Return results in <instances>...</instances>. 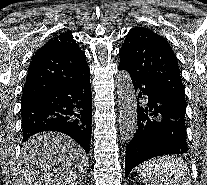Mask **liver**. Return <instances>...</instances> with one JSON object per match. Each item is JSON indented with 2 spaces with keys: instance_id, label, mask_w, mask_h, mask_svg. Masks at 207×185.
Wrapping results in <instances>:
<instances>
[{
  "instance_id": "liver-1",
  "label": "liver",
  "mask_w": 207,
  "mask_h": 185,
  "mask_svg": "<svg viewBox=\"0 0 207 185\" xmlns=\"http://www.w3.org/2000/svg\"><path fill=\"white\" fill-rule=\"evenodd\" d=\"M89 159L64 133H37L23 143L17 163V185H79Z\"/></svg>"
}]
</instances>
